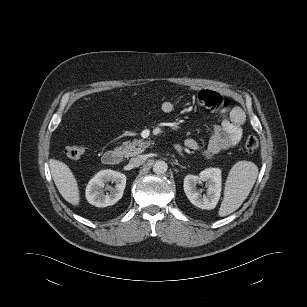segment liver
<instances>
[{
    "label": "liver",
    "mask_w": 307,
    "mask_h": 307,
    "mask_svg": "<svg viewBox=\"0 0 307 307\" xmlns=\"http://www.w3.org/2000/svg\"><path fill=\"white\" fill-rule=\"evenodd\" d=\"M49 167L55 185L62 197L70 204L78 206L80 202L79 188L71 169L63 162L50 159Z\"/></svg>",
    "instance_id": "6515ba94"
}]
</instances>
